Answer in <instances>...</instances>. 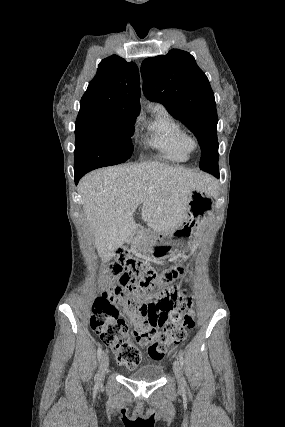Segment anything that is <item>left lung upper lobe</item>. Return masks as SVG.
Segmentation results:
<instances>
[{"label":"left lung upper lobe","mask_w":285,"mask_h":427,"mask_svg":"<svg viewBox=\"0 0 285 427\" xmlns=\"http://www.w3.org/2000/svg\"><path fill=\"white\" fill-rule=\"evenodd\" d=\"M145 96L162 103L196 136L200 148V169L217 176L218 116L214 93L194 57L172 49L167 55L146 58L141 65Z\"/></svg>","instance_id":"left-lung-upper-lobe-1"}]
</instances>
